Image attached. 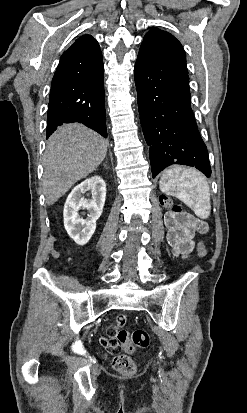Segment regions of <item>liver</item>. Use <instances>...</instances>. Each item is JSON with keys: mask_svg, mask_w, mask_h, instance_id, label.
<instances>
[{"mask_svg": "<svg viewBox=\"0 0 247 413\" xmlns=\"http://www.w3.org/2000/svg\"><path fill=\"white\" fill-rule=\"evenodd\" d=\"M109 142L84 124H62L47 140L42 186L47 204H54L77 180L104 160Z\"/></svg>", "mask_w": 247, "mask_h": 413, "instance_id": "obj_1", "label": "liver"}]
</instances>
